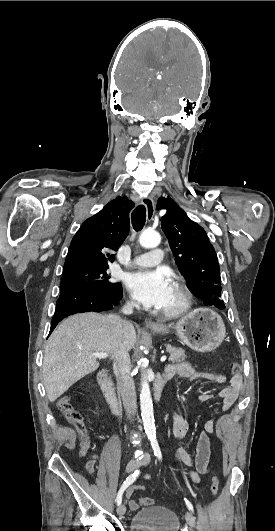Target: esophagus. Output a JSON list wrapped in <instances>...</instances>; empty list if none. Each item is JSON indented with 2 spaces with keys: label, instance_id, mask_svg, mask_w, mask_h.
<instances>
[{
  "label": "esophagus",
  "instance_id": "34e87169",
  "mask_svg": "<svg viewBox=\"0 0 275 531\" xmlns=\"http://www.w3.org/2000/svg\"><path fill=\"white\" fill-rule=\"evenodd\" d=\"M145 206H146V211H147V219L148 221H152L153 217H154V212H155V205H154V200L150 197L148 198H144L143 200ZM145 325L147 328H156L158 326V323H155L154 321H145Z\"/></svg>",
  "mask_w": 275,
  "mask_h": 531
}]
</instances>
